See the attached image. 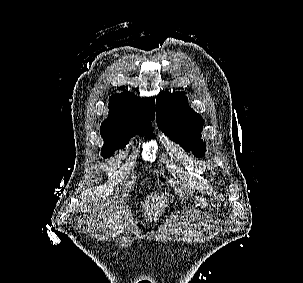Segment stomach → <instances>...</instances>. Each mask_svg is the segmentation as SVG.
Listing matches in <instances>:
<instances>
[{
    "mask_svg": "<svg viewBox=\"0 0 303 283\" xmlns=\"http://www.w3.org/2000/svg\"><path fill=\"white\" fill-rule=\"evenodd\" d=\"M194 201L195 205L199 206L200 208H207L208 206H210V202L203 196H195Z\"/></svg>",
    "mask_w": 303,
    "mask_h": 283,
    "instance_id": "0dacf381",
    "label": "stomach"
}]
</instances>
